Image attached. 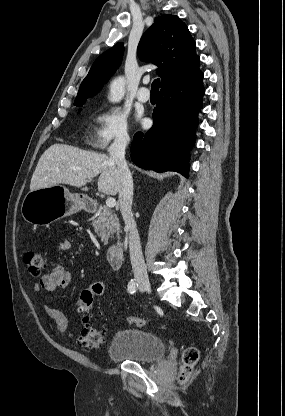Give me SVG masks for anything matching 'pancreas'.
<instances>
[{
    "instance_id": "1",
    "label": "pancreas",
    "mask_w": 285,
    "mask_h": 416,
    "mask_svg": "<svg viewBox=\"0 0 285 416\" xmlns=\"http://www.w3.org/2000/svg\"><path fill=\"white\" fill-rule=\"evenodd\" d=\"M100 210L101 212H99L97 220H93L92 226L97 236L101 238V242L108 244V238L120 230L119 218L108 206H102Z\"/></svg>"
}]
</instances>
